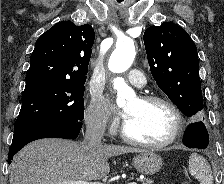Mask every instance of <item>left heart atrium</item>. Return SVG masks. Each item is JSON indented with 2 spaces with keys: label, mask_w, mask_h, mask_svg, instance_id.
Returning a JSON list of instances; mask_svg holds the SVG:
<instances>
[{
  "label": "left heart atrium",
  "mask_w": 224,
  "mask_h": 184,
  "mask_svg": "<svg viewBox=\"0 0 224 184\" xmlns=\"http://www.w3.org/2000/svg\"><path fill=\"white\" fill-rule=\"evenodd\" d=\"M122 116H123L125 119H127V116H128L127 112L124 111V112L122 113Z\"/></svg>",
  "instance_id": "obj_1"
}]
</instances>
